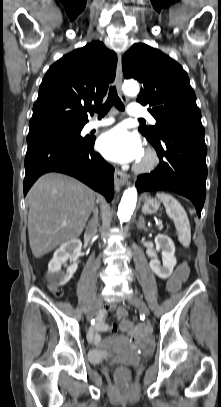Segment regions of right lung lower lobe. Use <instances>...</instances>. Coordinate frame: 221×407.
Masks as SVG:
<instances>
[{
    "instance_id": "1",
    "label": "right lung lower lobe",
    "mask_w": 221,
    "mask_h": 407,
    "mask_svg": "<svg viewBox=\"0 0 221 407\" xmlns=\"http://www.w3.org/2000/svg\"><path fill=\"white\" fill-rule=\"evenodd\" d=\"M24 195L36 179L47 172L71 175L102 193L107 201L114 195V168L93 152L94 140L79 141L65 134H42L27 138Z\"/></svg>"
}]
</instances>
